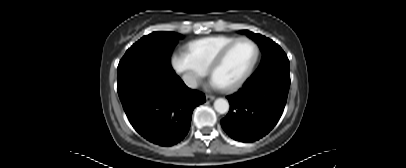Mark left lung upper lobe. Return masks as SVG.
Returning <instances> with one entry per match:
<instances>
[{
	"label": "left lung upper lobe",
	"mask_w": 406,
	"mask_h": 168,
	"mask_svg": "<svg viewBox=\"0 0 406 168\" xmlns=\"http://www.w3.org/2000/svg\"><path fill=\"white\" fill-rule=\"evenodd\" d=\"M243 32H246L259 45L263 54L261 63L254 75L271 72L289 76V60L278 44L260 34H254L250 31Z\"/></svg>",
	"instance_id": "5c2ea615"
}]
</instances>
